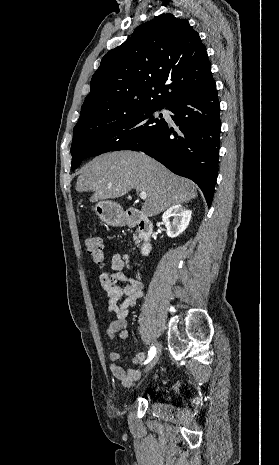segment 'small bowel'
I'll use <instances>...</instances> for the list:
<instances>
[{"instance_id": "small-bowel-1", "label": "small bowel", "mask_w": 279, "mask_h": 465, "mask_svg": "<svg viewBox=\"0 0 279 465\" xmlns=\"http://www.w3.org/2000/svg\"><path fill=\"white\" fill-rule=\"evenodd\" d=\"M111 272H103L99 277L100 285L106 294L107 310L115 315V319L111 321L107 329L109 339H115L119 333V337L123 342L130 339L129 333L125 330L127 326L126 318L137 301L142 297L143 284L128 276L124 270L129 268V257L126 254L115 252L111 259ZM121 301V303H119ZM111 365L110 370L113 376L118 379L121 384L129 388L137 381L142 373L139 368L128 366L123 368L120 363L127 361L117 352H111L109 355ZM146 359V354L143 352L137 353L132 359L133 364H140Z\"/></svg>"}]
</instances>
